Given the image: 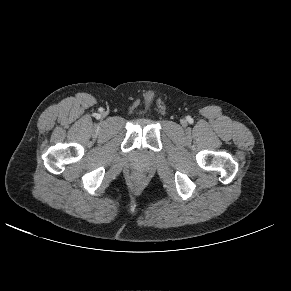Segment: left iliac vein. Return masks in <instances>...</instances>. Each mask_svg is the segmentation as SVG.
<instances>
[{
	"label": "left iliac vein",
	"mask_w": 291,
	"mask_h": 291,
	"mask_svg": "<svg viewBox=\"0 0 291 291\" xmlns=\"http://www.w3.org/2000/svg\"><path fill=\"white\" fill-rule=\"evenodd\" d=\"M182 124L185 125L186 124V121H182Z\"/></svg>",
	"instance_id": "obj_1"
}]
</instances>
